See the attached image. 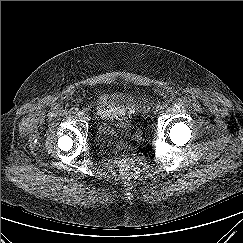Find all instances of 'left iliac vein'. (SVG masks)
<instances>
[{
	"instance_id": "left-iliac-vein-1",
	"label": "left iliac vein",
	"mask_w": 243,
	"mask_h": 243,
	"mask_svg": "<svg viewBox=\"0 0 243 243\" xmlns=\"http://www.w3.org/2000/svg\"><path fill=\"white\" fill-rule=\"evenodd\" d=\"M163 109H164L163 106H158V107H157V111H158V112H162Z\"/></svg>"
}]
</instances>
